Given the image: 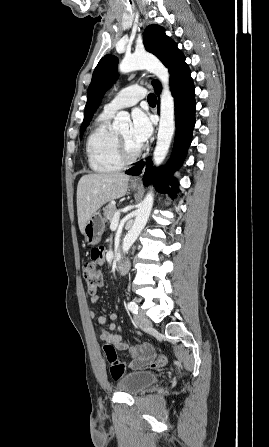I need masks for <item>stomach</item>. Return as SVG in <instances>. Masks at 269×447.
Wrapping results in <instances>:
<instances>
[{"label":"stomach","mask_w":269,"mask_h":447,"mask_svg":"<svg viewBox=\"0 0 269 447\" xmlns=\"http://www.w3.org/2000/svg\"><path fill=\"white\" fill-rule=\"evenodd\" d=\"M137 190V188H135ZM105 220H103L101 214L99 212H95L91 218H89L87 224L84 227V235L85 241L87 243H91V245H95V243H99L101 239V235L104 231Z\"/></svg>","instance_id":"1"}]
</instances>
